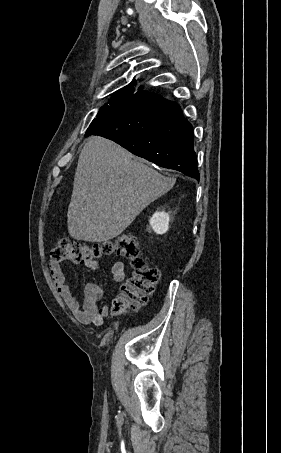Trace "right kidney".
<instances>
[{"instance_id":"ca27d5eb","label":"right kidney","mask_w":281,"mask_h":453,"mask_svg":"<svg viewBox=\"0 0 281 453\" xmlns=\"http://www.w3.org/2000/svg\"><path fill=\"white\" fill-rule=\"evenodd\" d=\"M169 220L170 216L168 212H164V210L159 212V210H156L149 220L150 227H152L154 233H157V235H164L169 229Z\"/></svg>"}]
</instances>
